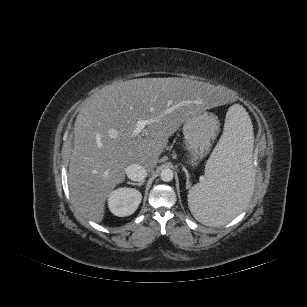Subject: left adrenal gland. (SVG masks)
Returning a JSON list of instances; mask_svg holds the SVG:
<instances>
[{"label": "left adrenal gland", "mask_w": 307, "mask_h": 307, "mask_svg": "<svg viewBox=\"0 0 307 307\" xmlns=\"http://www.w3.org/2000/svg\"><path fill=\"white\" fill-rule=\"evenodd\" d=\"M185 174H186V184H187V188L189 187V183H190V176H189V173L187 171L186 168H183Z\"/></svg>", "instance_id": "a2214340"}]
</instances>
